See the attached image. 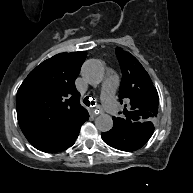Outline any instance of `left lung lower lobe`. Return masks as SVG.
Segmentation results:
<instances>
[{"mask_svg":"<svg viewBox=\"0 0 193 193\" xmlns=\"http://www.w3.org/2000/svg\"><path fill=\"white\" fill-rule=\"evenodd\" d=\"M153 132L154 126L151 123L137 126L114 124L110 131L102 133V139L113 148L131 152L141 148Z\"/></svg>","mask_w":193,"mask_h":193,"instance_id":"0a47b994","label":"left lung lower lobe"}]
</instances>
